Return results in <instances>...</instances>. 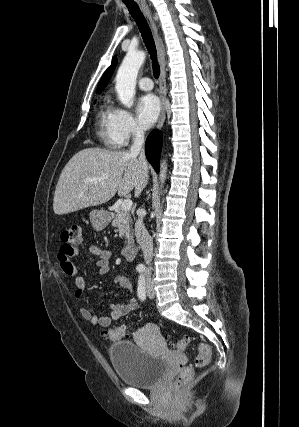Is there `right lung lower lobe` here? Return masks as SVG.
Listing matches in <instances>:
<instances>
[{
	"label": "right lung lower lobe",
	"instance_id": "obj_1",
	"mask_svg": "<svg viewBox=\"0 0 299 427\" xmlns=\"http://www.w3.org/2000/svg\"><path fill=\"white\" fill-rule=\"evenodd\" d=\"M162 149V136L159 131L151 132L145 143V152L148 161L159 172V160Z\"/></svg>",
	"mask_w": 299,
	"mask_h": 427
}]
</instances>
